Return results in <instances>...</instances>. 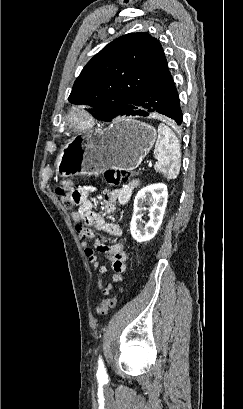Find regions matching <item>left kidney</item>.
<instances>
[{"mask_svg": "<svg viewBox=\"0 0 243 409\" xmlns=\"http://www.w3.org/2000/svg\"><path fill=\"white\" fill-rule=\"evenodd\" d=\"M167 200V186L163 183L153 184L138 191L134 199V212L130 223L131 235L137 242L149 241L157 234L162 224ZM146 210L149 212V220L144 222L142 212Z\"/></svg>", "mask_w": 243, "mask_h": 409, "instance_id": "obj_1", "label": "left kidney"}]
</instances>
